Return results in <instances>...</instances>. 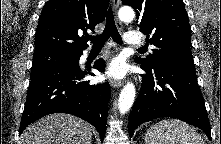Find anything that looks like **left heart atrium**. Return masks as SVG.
<instances>
[{
    "mask_svg": "<svg viewBox=\"0 0 221 144\" xmlns=\"http://www.w3.org/2000/svg\"><path fill=\"white\" fill-rule=\"evenodd\" d=\"M126 73H127V65L125 61L120 58L113 60L110 63L107 71V74L111 78H116V79L124 77Z\"/></svg>",
    "mask_w": 221,
    "mask_h": 144,
    "instance_id": "39dd6f15",
    "label": "left heart atrium"
}]
</instances>
